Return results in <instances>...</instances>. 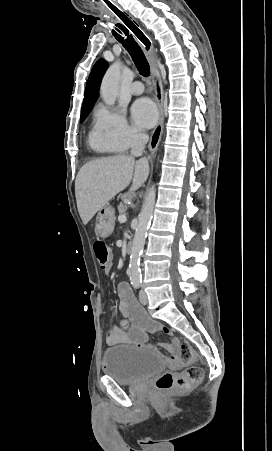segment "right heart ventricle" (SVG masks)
Returning a JSON list of instances; mask_svg holds the SVG:
<instances>
[{"label": "right heart ventricle", "mask_w": 272, "mask_h": 451, "mask_svg": "<svg viewBox=\"0 0 272 451\" xmlns=\"http://www.w3.org/2000/svg\"><path fill=\"white\" fill-rule=\"evenodd\" d=\"M90 142L96 150L104 153L113 152L117 148L114 144L100 138L96 131L91 133Z\"/></svg>", "instance_id": "1"}]
</instances>
